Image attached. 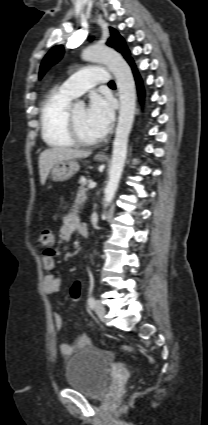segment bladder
Masks as SVG:
<instances>
[{"instance_id": "1", "label": "bladder", "mask_w": 208, "mask_h": 425, "mask_svg": "<svg viewBox=\"0 0 208 425\" xmlns=\"http://www.w3.org/2000/svg\"><path fill=\"white\" fill-rule=\"evenodd\" d=\"M112 360L109 352L95 348L78 351L67 363L66 384L85 396L101 397L110 385L109 366Z\"/></svg>"}]
</instances>
